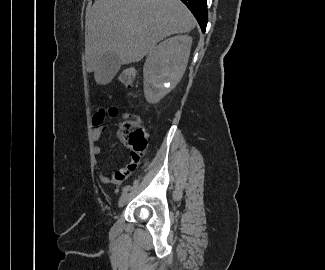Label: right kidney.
I'll return each mask as SVG.
<instances>
[{
    "label": "right kidney",
    "mask_w": 325,
    "mask_h": 270,
    "mask_svg": "<svg viewBox=\"0 0 325 270\" xmlns=\"http://www.w3.org/2000/svg\"><path fill=\"white\" fill-rule=\"evenodd\" d=\"M192 38L175 36L161 42L144 65V94L149 103L159 102L181 80L190 55Z\"/></svg>",
    "instance_id": "right-kidney-1"
}]
</instances>
